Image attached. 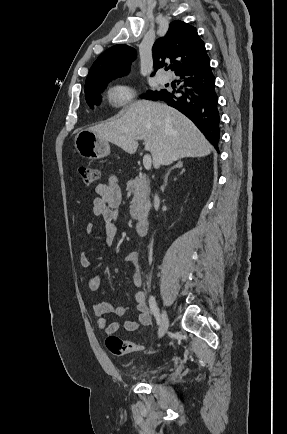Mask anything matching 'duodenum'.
<instances>
[{"mask_svg": "<svg viewBox=\"0 0 287 434\" xmlns=\"http://www.w3.org/2000/svg\"><path fill=\"white\" fill-rule=\"evenodd\" d=\"M149 229V220L148 218L142 217L137 221L136 224V233L139 237H144L147 235Z\"/></svg>", "mask_w": 287, "mask_h": 434, "instance_id": "1", "label": "duodenum"}]
</instances>
